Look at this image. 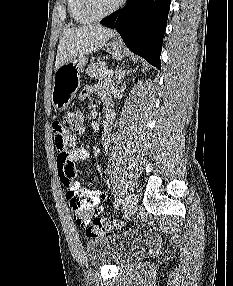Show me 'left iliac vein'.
I'll return each mask as SVG.
<instances>
[{"label": "left iliac vein", "instance_id": "left-iliac-vein-1", "mask_svg": "<svg viewBox=\"0 0 233 286\" xmlns=\"http://www.w3.org/2000/svg\"><path fill=\"white\" fill-rule=\"evenodd\" d=\"M136 206H137L136 195L133 193L129 194L128 197L126 198L125 205H124V211H125L126 218H128L129 216L135 213Z\"/></svg>", "mask_w": 233, "mask_h": 286}]
</instances>
